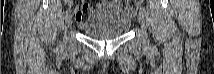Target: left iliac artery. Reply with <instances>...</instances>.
Masks as SVG:
<instances>
[{"label": "left iliac artery", "mask_w": 214, "mask_h": 74, "mask_svg": "<svg viewBox=\"0 0 214 74\" xmlns=\"http://www.w3.org/2000/svg\"><path fill=\"white\" fill-rule=\"evenodd\" d=\"M139 12H142V13H144V14H145L146 10H145V8H144V7H140V8H139Z\"/></svg>", "instance_id": "44dca946"}]
</instances>
